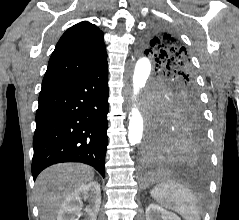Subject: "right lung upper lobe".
I'll return each mask as SVG.
<instances>
[{"mask_svg":"<svg viewBox=\"0 0 239 220\" xmlns=\"http://www.w3.org/2000/svg\"><path fill=\"white\" fill-rule=\"evenodd\" d=\"M107 62L103 33L89 22L69 28L53 51L42 88L74 80Z\"/></svg>","mask_w":239,"mask_h":220,"instance_id":"cb5924a9","label":"right lung upper lobe"}]
</instances>
